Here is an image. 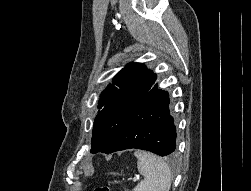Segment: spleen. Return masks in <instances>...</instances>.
Here are the masks:
<instances>
[{
    "instance_id": "1",
    "label": "spleen",
    "mask_w": 251,
    "mask_h": 191,
    "mask_svg": "<svg viewBox=\"0 0 251 191\" xmlns=\"http://www.w3.org/2000/svg\"><path fill=\"white\" fill-rule=\"evenodd\" d=\"M137 167L144 179L134 187L133 191H169L172 181L171 169L158 155L136 149Z\"/></svg>"
}]
</instances>
